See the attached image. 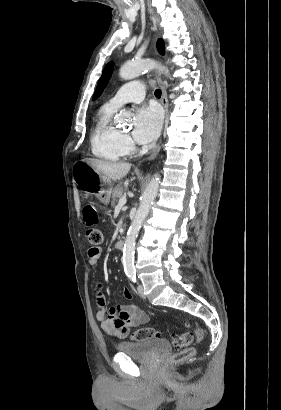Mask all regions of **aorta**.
<instances>
[{
    "mask_svg": "<svg viewBox=\"0 0 281 410\" xmlns=\"http://www.w3.org/2000/svg\"><path fill=\"white\" fill-rule=\"evenodd\" d=\"M151 69H158L159 71L168 74V70L156 63L153 60L143 59L139 61H131L125 63L119 70V75L123 80H131L138 77L142 72ZM128 115L126 112H120L117 116V122L124 123L127 121ZM160 183V176L155 174L149 181L142 197L140 205L135 214V217L128 229L127 236L123 248V265L126 274H133L134 268V252L135 241L141 229L148 212L157 196Z\"/></svg>",
    "mask_w": 281,
    "mask_h": 410,
    "instance_id": "aorta-1",
    "label": "aorta"
}]
</instances>
